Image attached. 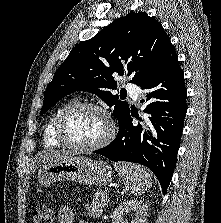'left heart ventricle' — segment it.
<instances>
[{
    "mask_svg": "<svg viewBox=\"0 0 221 223\" xmlns=\"http://www.w3.org/2000/svg\"><path fill=\"white\" fill-rule=\"evenodd\" d=\"M108 132L106 118L91 109L73 113L65 124V135L73 143L93 145L100 141Z\"/></svg>",
    "mask_w": 221,
    "mask_h": 223,
    "instance_id": "1",
    "label": "left heart ventricle"
}]
</instances>
